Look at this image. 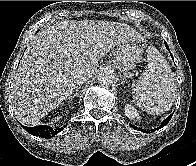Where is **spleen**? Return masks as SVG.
<instances>
[{
	"label": "spleen",
	"mask_w": 196,
	"mask_h": 166,
	"mask_svg": "<svg viewBox=\"0 0 196 166\" xmlns=\"http://www.w3.org/2000/svg\"><path fill=\"white\" fill-rule=\"evenodd\" d=\"M147 67L142 73L133 101L149 114L169 111L176 98V83L168 62L154 47L147 49Z\"/></svg>",
	"instance_id": "3e777b00"
}]
</instances>
